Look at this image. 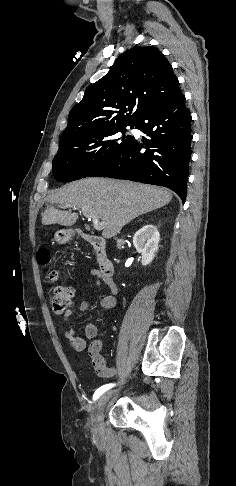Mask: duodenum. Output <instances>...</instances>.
Masks as SVG:
<instances>
[{
	"mask_svg": "<svg viewBox=\"0 0 236 486\" xmlns=\"http://www.w3.org/2000/svg\"><path fill=\"white\" fill-rule=\"evenodd\" d=\"M80 236L92 247L102 276L111 278L114 273V265L107 256L105 240L86 233H80Z\"/></svg>",
	"mask_w": 236,
	"mask_h": 486,
	"instance_id": "1",
	"label": "duodenum"
}]
</instances>
